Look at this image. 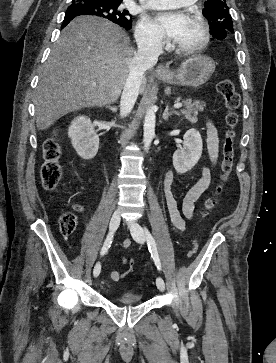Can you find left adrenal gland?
I'll return each instance as SVG.
<instances>
[{
	"instance_id": "a2214340",
	"label": "left adrenal gland",
	"mask_w": 276,
	"mask_h": 363,
	"mask_svg": "<svg viewBox=\"0 0 276 363\" xmlns=\"http://www.w3.org/2000/svg\"><path fill=\"white\" fill-rule=\"evenodd\" d=\"M171 115H179V113L177 111H169V107L168 105L166 106L164 112H163V116L162 118L165 120V121H168V118L171 116Z\"/></svg>"
}]
</instances>
